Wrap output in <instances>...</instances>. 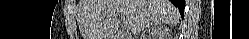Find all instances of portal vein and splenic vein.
Returning <instances> with one entry per match:
<instances>
[{"label":"portal vein and splenic vein","mask_w":249,"mask_h":39,"mask_svg":"<svg viewBox=\"0 0 249 39\" xmlns=\"http://www.w3.org/2000/svg\"><path fill=\"white\" fill-rule=\"evenodd\" d=\"M124 25H125V27H128V23L126 21H124Z\"/></svg>","instance_id":"portal-vein-and-splenic-vein-1"}]
</instances>
